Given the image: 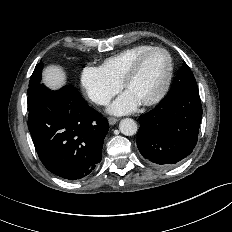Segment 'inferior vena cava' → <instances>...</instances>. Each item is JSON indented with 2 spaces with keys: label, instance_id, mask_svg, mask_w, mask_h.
<instances>
[{
  "label": "inferior vena cava",
  "instance_id": "inferior-vena-cava-1",
  "mask_svg": "<svg viewBox=\"0 0 232 232\" xmlns=\"http://www.w3.org/2000/svg\"><path fill=\"white\" fill-rule=\"evenodd\" d=\"M97 103L100 104V105H106L109 103V99L108 98H105V97H100L98 100H97Z\"/></svg>",
  "mask_w": 232,
  "mask_h": 232
}]
</instances>
